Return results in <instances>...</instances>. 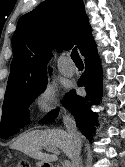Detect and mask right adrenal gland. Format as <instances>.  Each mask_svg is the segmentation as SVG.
Segmentation results:
<instances>
[{
  "mask_svg": "<svg viewBox=\"0 0 125 167\" xmlns=\"http://www.w3.org/2000/svg\"><path fill=\"white\" fill-rule=\"evenodd\" d=\"M80 167H83L81 158H80Z\"/></svg>",
  "mask_w": 125,
  "mask_h": 167,
  "instance_id": "obj_1",
  "label": "right adrenal gland"
}]
</instances>
